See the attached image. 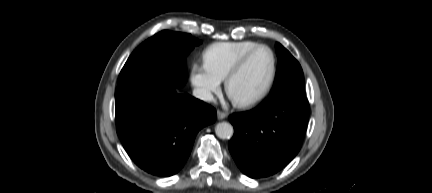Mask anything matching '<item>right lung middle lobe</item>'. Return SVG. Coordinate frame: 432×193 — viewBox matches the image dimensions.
Here are the masks:
<instances>
[{
	"label": "right lung middle lobe",
	"instance_id": "right-lung-middle-lobe-1",
	"mask_svg": "<svg viewBox=\"0 0 432 193\" xmlns=\"http://www.w3.org/2000/svg\"><path fill=\"white\" fill-rule=\"evenodd\" d=\"M200 43L190 34L161 31L134 50L120 72L118 84L157 75L182 87L187 80L186 57Z\"/></svg>",
	"mask_w": 432,
	"mask_h": 193
}]
</instances>
